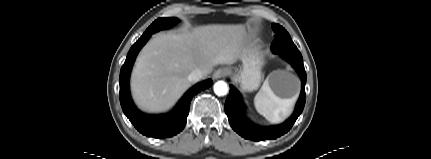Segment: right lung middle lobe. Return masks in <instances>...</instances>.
<instances>
[{
  "mask_svg": "<svg viewBox=\"0 0 431 159\" xmlns=\"http://www.w3.org/2000/svg\"><path fill=\"white\" fill-rule=\"evenodd\" d=\"M177 22H178V19L175 17L158 18L147 28V30L144 33L146 32L155 33L158 30L170 28L172 25H174Z\"/></svg>",
  "mask_w": 431,
  "mask_h": 159,
  "instance_id": "dd1d6c3e",
  "label": "right lung middle lobe"
}]
</instances>
